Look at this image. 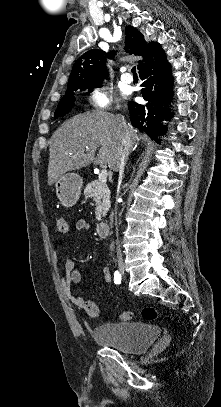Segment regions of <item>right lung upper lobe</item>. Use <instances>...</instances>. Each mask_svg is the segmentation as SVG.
I'll return each mask as SVG.
<instances>
[{"label":"right lung upper lobe","instance_id":"right-lung-upper-lobe-1","mask_svg":"<svg viewBox=\"0 0 221 407\" xmlns=\"http://www.w3.org/2000/svg\"><path fill=\"white\" fill-rule=\"evenodd\" d=\"M160 49V45L156 42L146 43L143 35L137 29L132 26L126 28L125 51L129 54L143 56V60L138 64V70ZM106 58H111V54L102 50L93 49L85 52L73 65L67 91L101 85L108 77Z\"/></svg>","mask_w":221,"mask_h":407}]
</instances>
